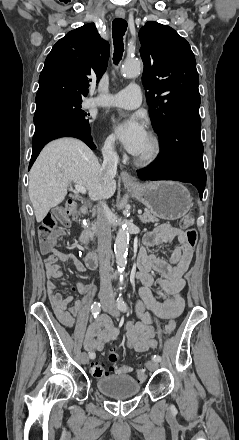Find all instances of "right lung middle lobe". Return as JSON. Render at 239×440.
<instances>
[{"label":"right lung middle lobe","instance_id":"obj_1","mask_svg":"<svg viewBox=\"0 0 239 440\" xmlns=\"http://www.w3.org/2000/svg\"><path fill=\"white\" fill-rule=\"evenodd\" d=\"M81 102V97L54 96L36 102V113L44 110H57L79 122L88 124L89 120L86 117L89 114L80 109Z\"/></svg>","mask_w":239,"mask_h":440}]
</instances>
